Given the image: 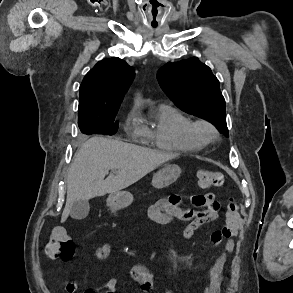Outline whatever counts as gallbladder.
<instances>
[{
  "label": "gallbladder",
  "instance_id": "obj_1",
  "mask_svg": "<svg viewBox=\"0 0 293 293\" xmlns=\"http://www.w3.org/2000/svg\"><path fill=\"white\" fill-rule=\"evenodd\" d=\"M90 210L89 202L87 200L75 201L71 207L70 215L73 219H84Z\"/></svg>",
  "mask_w": 293,
  "mask_h": 293
}]
</instances>
